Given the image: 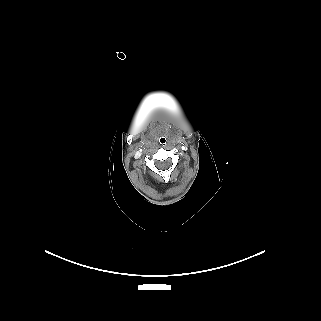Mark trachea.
Masks as SVG:
<instances>
[{
  "label": "trachea",
  "instance_id": "trachea-1",
  "mask_svg": "<svg viewBox=\"0 0 321 321\" xmlns=\"http://www.w3.org/2000/svg\"><path fill=\"white\" fill-rule=\"evenodd\" d=\"M160 143L162 145H165L167 143V139L163 136L161 139H160Z\"/></svg>",
  "mask_w": 321,
  "mask_h": 321
}]
</instances>
